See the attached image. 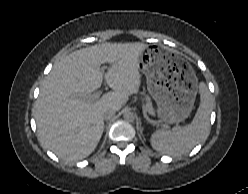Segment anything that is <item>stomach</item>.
Here are the masks:
<instances>
[{"instance_id":"0dacf381","label":"stomach","mask_w":248,"mask_h":194,"mask_svg":"<svg viewBox=\"0 0 248 194\" xmlns=\"http://www.w3.org/2000/svg\"><path fill=\"white\" fill-rule=\"evenodd\" d=\"M149 94L157 103L158 118L173 124L191 113L198 89L192 66L161 46H147L138 56Z\"/></svg>"}]
</instances>
